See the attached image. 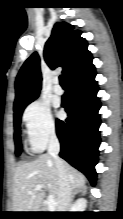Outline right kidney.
Returning a JSON list of instances; mask_svg holds the SVG:
<instances>
[{
    "label": "right kidney",
    "instance_id": "obj_1",
    "mask_svg": "<svg viewBox=\"0 0 123 219\" xmlns=\"http://www.w3.org/2000/svg\"><path fill=\"white\" fill-rule=\"evenodd\" d=\"M87 207V200L85 198H79L73 205L70 207V212H84Z\"/></svg>",
    "mask_w": 123,
    "mask_h": 219
}]
</instances>
